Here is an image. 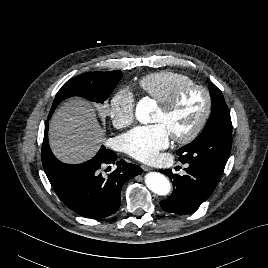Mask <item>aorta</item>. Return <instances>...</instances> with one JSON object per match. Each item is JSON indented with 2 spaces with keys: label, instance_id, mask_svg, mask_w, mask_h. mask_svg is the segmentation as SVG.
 I'll return each instance as SVG.
<instances>
[{
  "label": "aorta",
  "instance_id": "1",
  "mask_svg": "<svg viewBox=\"0 0 268 268\" xmlns=\"http://www.w3.org/2000/svg\"><path fill=\"white\" fill-rule=\"evenodd\" d=\"M155 105L151 99H141L136 107V119L147 124L151 122V112ZM145 184L152 192L158 195H167L171 191L169 180L159 172H149L145 176Z\"/></svg>",
  "mask_w": 268,
  "mask_h": 268
}]
</instances>
